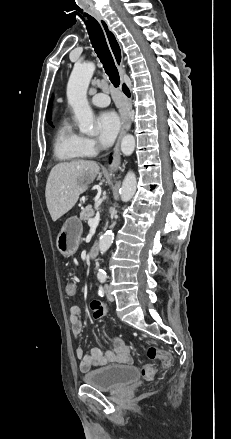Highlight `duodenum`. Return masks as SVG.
I'll return each mask as SVG.
<instances>
[{
  "mask_svg": "<svg viewBox=\"0 0 231 439\" xmlns=\"http://www.w3.org/2000/svg\"><path fill=\"white\" fill-rule=\"evenodd\" d=\"M98 255V245L97 244H93L88 252V256L90 259H95Z\"/></svg>",
  "mask_w": 231,
  "mask_h": 439,
  "instance_id": "duodenum-1",
  "label": "duodenum"
}]
</instances>
